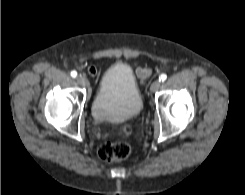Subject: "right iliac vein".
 I'll use <instances>...</instances> for the list:
<instances>
[{"instance_id":"right-iliac-vein-1","label":"right iliac vein","mask_w":245,"mask_h":195,"mask_svg":"<svg viewBox=\"0 0 245 195\" xmlns=\"http://www.w3.org/2000/svg\"><path fill=\"white\" fill-rule=\"evenodd\" d=\"M78 83L83 86V87H88L89 86V81L86 77L84 76H79L77 78Z\"/></svg>"}]
</instances>
